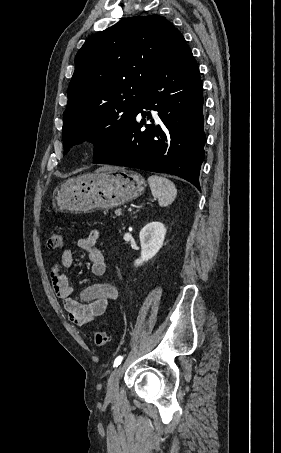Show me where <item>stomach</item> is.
Returning a JSON list of instances; mask_svg holds the SVG:
<instances>
[{
	"label": "stomach",
	"mask_w": 281,
	"mask_h": 453,
	"mask_svg": "<svg viewBox=\"0 0 281 453\" xmlns=\"http://www.w3.org/2000/svg\"><path fill=\"white\" fill-rule=\"evenodd\" d=\"M145 186L146 182L138 172L122 166H106L104 170L68 178L55 188L54 200L58 210L92 212L133 200L141 196Z\"/></svg>",
	"instance_id": "0dacf381"
}]
</instances>
